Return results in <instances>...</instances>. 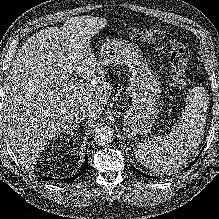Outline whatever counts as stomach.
Here are the masks:
<instances>
[{"instance_id": "1", "label": "stomach", "mask_w": 219, "mask_h": 219, "mask_svg": "<svg viewBox=\"0 0 219 219\" xmlns=\"http://www.w3.org/2000/svg\"><path fill=\"white\" fill-rule=\"evenodd\" d=\"M98 61L102 66L128 67L132 102L123 118L124 130L130 137L148 133L157 118L161 89L140 49L128 40L111 39L101 46Z\"/></svg>"}]
</instances>
